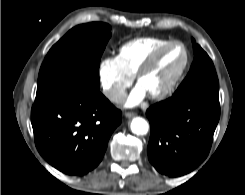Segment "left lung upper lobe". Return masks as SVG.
I'll return each mask as SVG.
<instances>
[{
  "label": "left lung upper lobe",
  "instance_id": "5c2ea615",
  "mask_svg": "<svg viewBox=\"0 0 245 195\" xmlns=\"http://www.w3.org/2000/svg\"><path fill=\"white\" fill-rule=\"evenodd\" d=\"M194 59L190 71L172 97L219 101V82L212 60L192 39Z\"/></svg>",
  "mask_w": 245,
  "mask_h": 195
}]
</instances>
